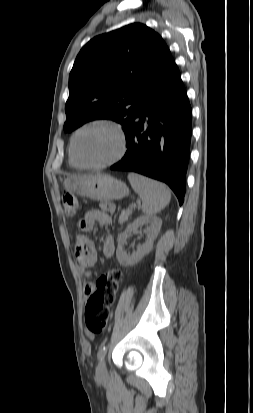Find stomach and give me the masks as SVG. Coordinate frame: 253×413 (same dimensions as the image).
<instances>
[{
	"mask_svg": "<svg viewBox=\"0 0 253 413\" xmlns=\"http://www.w3.org/2000/svg\"><path fill=\"white\" fill-rule=\"evenodd\" d=\"M64 186L71 193L97 201L118 200L129 194L124 182L107 174L73 176Z\"/></svg>",
	"mask_w": 253,
	"mask_h": 413,
	"instance_id": "obj_1",
	"label": "stomach"
}]
</instances>
